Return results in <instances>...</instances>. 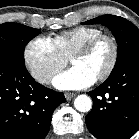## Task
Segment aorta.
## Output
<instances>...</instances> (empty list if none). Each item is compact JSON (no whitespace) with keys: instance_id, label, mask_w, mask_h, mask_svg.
<instances>
[{"instance_id":"762f6f07","label":"aorta","mask_w":139,"mask_h":139,"mask_svg":"<svg viewBox=\"0 0 139 139\" xmlns=\"http://www.w3.org/2000/svg\"><path fill=\"white\" fill-rule=\"evenodd\" d=\"M74 107L80 112H88L92 108V100L85 94L78 95L74 100Z\"/></svg>"}]
</instances>
